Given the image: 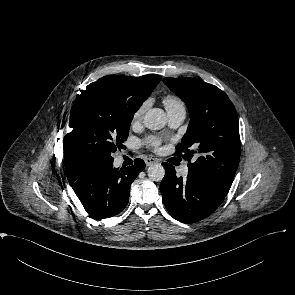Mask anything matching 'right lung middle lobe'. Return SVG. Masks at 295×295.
Masks as SVG:
<instances>
[{"label":"right lung middle lobe","mask_w":295,"mask_h":295,"mask_svg":"<svg viewBox=\"0 0 295 295\" xmlns=\"http://www.w3.org/2000/svg\"><path fill=\"white\" fill-rule=\"evenodd\" d=\"M147 97L143 77L108 75L89 84L74 101L63 145L80 164L114 160Z\"/></svg>","instance_id":"1"}]
</instances>
